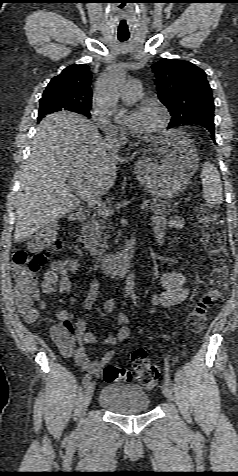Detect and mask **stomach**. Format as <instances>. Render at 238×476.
I'll return each instance as SVG.
<instances>
[{"mask_svg":"<svg viewBox=\"0 0 238 476\" xmlns=\"http://www.w3.org/2000/svg\"><path fill=\"white\" fill-rule=\"evenodd\" d=\"M198 153L182 131L171 130L151 140L134 173L140 184L156 198L179 195L198 166Z\"/></svg>","mask_w":238,"mask_h":476,"instance_id":"0dacf381","label":"stomach"}]
</instances>
